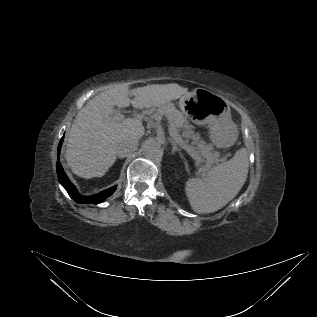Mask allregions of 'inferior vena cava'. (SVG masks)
Returning <instances> with one entry per match:
<instances>
[{"label":"inferior vena cava","mask_w":317,"mask_h":317,"mask_svg":"<svg viewBox=\"0 0 317 317\" xmlns=\"http://www.w3.org/2000/svg\"><path fill=\"white\" fill-rule=\"evenodd\" d=\"M138 146V140L128 138L123 141H120L115 146V153L119 157H126L127 154L136 150Z\"/></svg>","instance_id":"602c4592"}]
</instances>
